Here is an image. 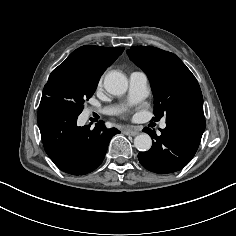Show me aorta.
<instances>
[{
    "label": "aorta",
    "instance_id": "1",
    "mask_svg": "<svg viewBox=\"0 0 236 236\" xmlns=\"http://www.w3.org/2000/svg\"><path fill=\"white\" fill-rule=\"evenodd\" d=\"M104 87L110 94L119 96L127 91L128 80L123 73L112 71L106 74L104 78ZM134 145L137 150L145 152L151 148L152 139L148 134L142 133L135 137Z\"/></svg>",
    "mask_w": 236,
    "mask_h": 236
}]
</instances>
